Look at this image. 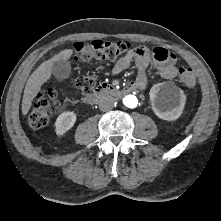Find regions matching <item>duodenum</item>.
<instances>
[{
  "instance_id": "obj_1",
  "label": "duodenum",
  "mask_w": 221,
  "mask_h": 221,
  "mask_svg": "<svg viewBox=\"0 0 221 221\" xmlns=\"http://www.w3.org/2000/svg\"><path fill=\"white\" fill-rule=\"evenodd\" d=\"M135 88L131 85L126 86L123 90L117 89L110 84H101L93 92L85 96L84 101L88 104H93L100 99L108 96L119 97L123 94L130 93L134 91Z\"/></svg>"
}]
</instances>
